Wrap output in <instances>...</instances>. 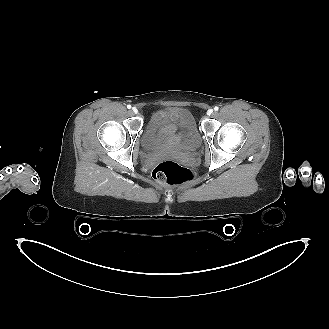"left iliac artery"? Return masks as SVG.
Returning <instances> with one entry per match:
<instances>
[{"label":"left iliac artery","mask_w":329,"mask_h":329,"mask_svg":"<svg viewBox=\"0 0 329 329\" xmlns=\"http://www.w3.org/2000/svg\"><path fill=\"white\" fill-rule=\"evenodd\" d=\"M214 110H215V111H218V110H219V107L215 106V107H214Z\"/></svg>","instance_id":"left-iliac-artery-1"}]
</instances>
